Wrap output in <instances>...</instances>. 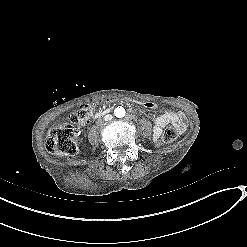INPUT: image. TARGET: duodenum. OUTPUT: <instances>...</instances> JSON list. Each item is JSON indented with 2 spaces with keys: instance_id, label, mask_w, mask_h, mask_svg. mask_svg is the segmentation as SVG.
<instances>
[{
  "instance_id": "duodenum-1",
  "label": "duodenum",
  "mask_w": 247,
  "mask_h": 247,
  "mask_svg": "<svg viewBox=\"0 0 247 247\" xmlns=\"http://www.w3.org/2000/svg\"><path fill=\"white\" fill-rule=\"evenodd\" d=\"M109 112H110L109 109L101 110V111L97 112V113L94 115V118H98V117H100V116H102V115H105V114H107V113H109Z\"/></svg>"
}]
</instances>
